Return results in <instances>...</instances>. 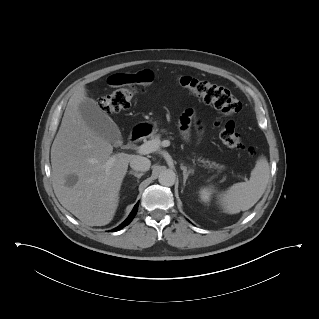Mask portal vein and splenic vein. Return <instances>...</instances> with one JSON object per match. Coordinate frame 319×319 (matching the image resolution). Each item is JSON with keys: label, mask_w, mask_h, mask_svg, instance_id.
<instances>
[{"label": "portal vein and splenic vein", "mask_w": 319, "mask_h": 319, "mask_svg": "<svg viewBox=\"0 0 319 319\" xmlns=\"http://www.w3.org/2000/svg\"><path fill=\"white\" fill-rule=\"evenodd\" d=\"M170 145V141L168 140H164V141H160V140H151V141H147L146 143L142 144L141 146L138 147V152L140 154H149L152 152H155L156 150H158L160 148V146L162 147H168ZM113 162V159H110L108 161V164H111Z\"/></svg>", "instance_id": "1"}]
</instances>
